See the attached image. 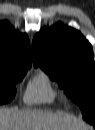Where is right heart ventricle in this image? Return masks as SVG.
Here are the masks:
<instances>
[{
  "instance_id": "right-heart-ventricle-1",
  "label": "right heart ventricle",
  "mask_w": 95,
  "mask_h": 130,
  "mask_svg": "<svg viewBox=\"0 0 95 130\" xmlns=\"http://www.w3.org/2000/svg\"><path fill=\"white\" fill-rule=\"evenodd\" d=\"M58 91L44 72L35 75L27 85L24 100L28 104H50L58 99Z\"/></svg>"
}]
</instances>
